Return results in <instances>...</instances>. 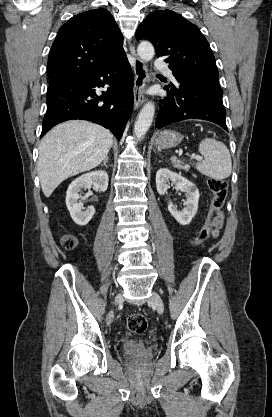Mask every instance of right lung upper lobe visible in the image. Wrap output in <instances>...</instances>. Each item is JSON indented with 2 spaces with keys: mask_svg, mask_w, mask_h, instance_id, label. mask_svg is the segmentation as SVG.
<instances>
[{
  "mask_svg": "<svg viewBox=\"0 0 272 417\" xmlns=\"http://www.w3.org/2000/svg\"><path fill=\"white\" fill-rule=\"evenodd\" d=\"M123 36L106 9L80 13L58 31L48 58L49 83L94 72L125 53Z\"/></svg>",
  "mask_w": 272,
  "mask_h": 417,
  "instance_id": "obj_1",
  "label": "right lung upper lobe"
}]
</instances>
